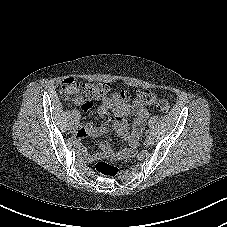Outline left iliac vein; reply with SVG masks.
<instances>
[{
    "mask_svg": "<svg viewBox=\"0 0 227 227\" xmlns=\"http://www.w3.org/2000/svg\"><path fill=\"white\" fill-rule=\"evenodd\" d=\"M154 143V139L152 136L148 135L146 139L144 140L145 146H151Z\"/></svg>",
    "mask_w": 227,
    "mask_h": 227,
    "instance_id": "obj_1",
    "label": "left iliac vein"
}]
</instances>
